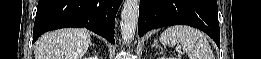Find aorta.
Instances as JSON below:
<instances>
[{"instance_id": "aorta-1", "label": "aorta", "mask_w": 261, "mask_h": 59, "mask_svg": "<svg viewBox=\"0 0 261 59\" xmlns=\"http://www.w3.org/2000/svg\"><path fill=\"white\" fill-rule=\"evenodd\" d=\"M139 0H125L121 11V35L125 43H130L134 39L138 17Z\"/></svg>"}]
</instances>
